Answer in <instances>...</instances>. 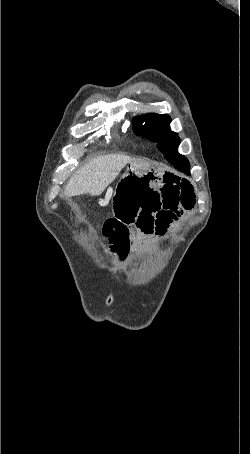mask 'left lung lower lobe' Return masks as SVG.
I'll list each match as a JSON object with an SVG mask.
<instances>
[{
    "label": "left lung lower lobe",
    "instance_id": "0a47b994",
    "mask_svg": "<svg viewBox=\"0 0 250 454\" xmlns=\"http://www.w3.org/2000/svg\"><path fill=\"white\" fill-rule=\"evenodd\" d=\"M168 161L174 165V167L181 172H184L188 175H190V166H189V161L187 158L183 155H179L177 157H173L168 159Z\"/></svg>",
    "mask_w": 250,
    "mask_h": 454
}]
</instances>
